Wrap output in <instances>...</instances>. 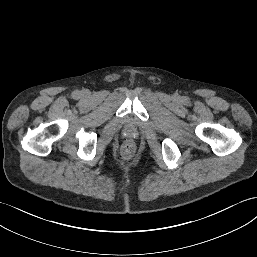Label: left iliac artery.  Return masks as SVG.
Masks as SVG:
<instances>
[{
	"mask_svg": "<svg viewBox=\"0 0 257 257\" xmlns=\"http://www.w3.org/2000/svg\"><path fill=\"white\" fill-rule=\"evenodd\" d=\"M184 100H185V102H188V98H185Z\"/></svg>",
	"mask_w": 257,
	"mask_h": 257,
	"instance_id": "1",
	"label": "left iliac artery"
}]
</instances>
